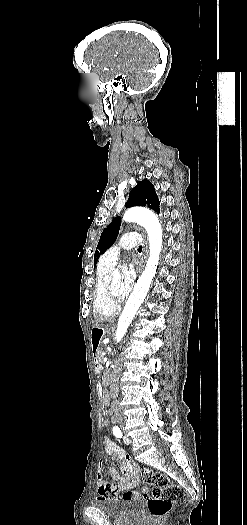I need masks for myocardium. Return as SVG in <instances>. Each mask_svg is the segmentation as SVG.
Returning <instances> with one entry per match:
<instances>
[{
  "label": "myocardium",
  "instance_id": "obj_1",
  "mask_svg": "<svg viewBox=\"0 0 247 525\" xmlns=\"http://www.w3.org/2000/svg\"><path fill=\"white\" fill-rule=\"evenodd\" d=\"M118 262H119V261H118ZM118 262L115 263L113 266H117ZM104 288H105V292H106V293L110 291V290H109V280H108V279L105 280Z\"/></svg>",
  "mask_w": 247,
  "mask_h": 525
}]
</instances>
